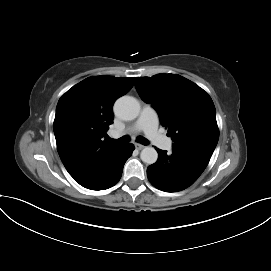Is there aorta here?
Wrapping results in <instances>:
<instances>
[{
	"mask_svg": "<svg viewBox=\"0 0 271 271\" xmlns=\"http://www.w3.org/2000/svg\"><path fill=\"white\" fill-rule=\"evenodd\" d=\"M114 111L123 120H134L140 113V104L134 97L123 96L115 102ZM140 158L144 163L154 164L158 153L153 147H145L141 151Z\"/></svg>",
	"mask_w": 271,
	"mask_h": 271,
	"instance_id": "1",
	"label": "aorta"
}]
</instances>
